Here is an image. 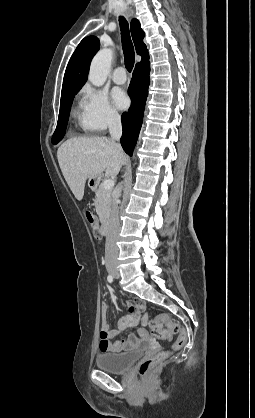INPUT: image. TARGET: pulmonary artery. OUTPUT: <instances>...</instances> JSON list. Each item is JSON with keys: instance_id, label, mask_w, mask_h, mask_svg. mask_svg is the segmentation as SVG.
<instances>
[{"instance_id": "obj_1", "label": "pulmonary artery", "mask_w": 255, "mask_h": 418, "mask_svg": "<svg viewBox=\"0 0 255 418\" xmlns=\"http://www.w3.org/2000/svg\"><path fill=\"white\" fill-rule=\"evenodd\" d=\"M112 79L117 84H124L127 79L124 67H117L112 74Z\"/></svg>"}]
</instances>
